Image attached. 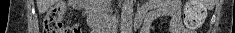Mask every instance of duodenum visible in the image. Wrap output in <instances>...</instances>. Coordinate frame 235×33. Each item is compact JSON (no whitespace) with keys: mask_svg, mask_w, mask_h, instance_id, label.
Instances as JSON below:
<instances>
[{"mask_svg":"<svg viewBox=\"0 0 235 33\" xmlns=\"http://www.w3.org/2000/svg\"><path fill=\"white\" fill-rule=\"evenodd\" d=\"M86 13H87V22L90 28L92 29V33H103L107 28V24H105L93 4V1H86ZM142 21V16H137L135 20V25L138 26Z\"/></svg>","mask_w":235,"mask_h":33,"instance_id":"1","label":"duodenum"}]
</instances>
